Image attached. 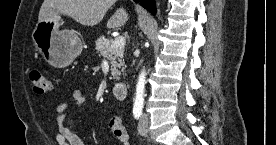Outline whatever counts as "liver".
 I'll return each mask as SVG.
<instances>
[{"mask_svg": "<svg viewBox=\"0 0 276 145\" xmlns=\"http://www.w3.org/2000/svg\"><path fill=\"white\" fill-rule=\"evenodd\" d=\"M116 0H44L38 21L63 14L84 26H95L104 18ZM128 21L125 9L119 8L107 23L108 28L124 25Z\"/></svg>", "mask_w": 276, "mask_h": 145, "instance_id": "1", "label": "liver"}]
</instances>
